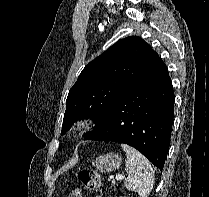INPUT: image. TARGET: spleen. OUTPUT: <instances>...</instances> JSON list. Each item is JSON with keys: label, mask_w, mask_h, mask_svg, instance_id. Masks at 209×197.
<instances>
[{"label": "spleen", "mask_w": 209, "mask_h": 197, "mask_svg": "<svg viewBox=\"0 0 209 197\" xmlns=\"http://www.w3.org/2000/svg\"><path fill=\"white\" fill-rule=\"evenodd\" d=\"M126 152V172L128 177L124 181V186L139 197H147L154 185V171L150 162L135 148L121 144Z\"/></svg>", "instance_id": "spleen-1"}]
</instances>
